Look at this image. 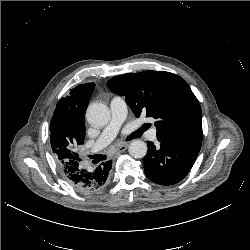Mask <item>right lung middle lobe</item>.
I'll list each match as a JSON object with an SVG mask.
<instances>
[{
  "instance_id": "right-lung-middle-lobe-1",
  "label": "right lung middle lobe",
  "mask_w": 250,
  "mask_h": 250,
  "mask_svg": "<svg viewBox=\"0 0 250 250\" xmlns=\"http://www.w3.org/2000/svg\"><path fill=\"white\" fill-rule=\"evenodd\" d=\"M85 135L79 138H75L74 141H68L67 139L50 137V143L55 157L58 161L59 157H63L66 160H81L77 154V147L84 143Z\"/></svg>"
}]
</instances>
